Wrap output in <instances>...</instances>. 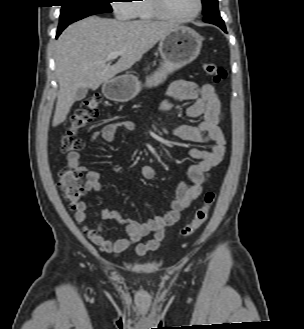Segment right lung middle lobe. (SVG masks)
Wrapping results in <instances>:
<instances>
[{"instance_id": "right-lung-middle-lobe-1", "label": "right lung middle lobe", "mask_w": 304, "mask_h": 329, "mask_svg": "<svg viewBox=\"0 0 304 329\" xmlns=\"http://www.w3.org/2000/svg\"><path fill=\"white\" fill-rule=\"evenodd\" d=\"M61 3L58 28H66L69 24L93 14L112 11L110 0H61Z\"/></svg>"}]
</instances>
